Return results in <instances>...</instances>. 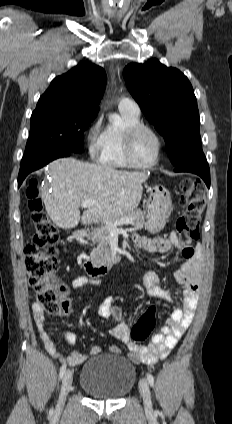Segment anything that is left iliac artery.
Listing matches in <instances>:
<instances>
[{"label":"left iliac artery","instance_id":"44dca946","mask_svg":"<svg viewBox=\"0 0 232 424\" xmlns=\"http://www.w3.org/2000/svg\"><path fill=\"white\" fill-rule=\"evenodd\" d=\"M147 380H148V383L150 384V386L153 387L154 386V377L151 373H147Z\"/></svg>","mask_w":232,"mask_h":424}]
</instances>
